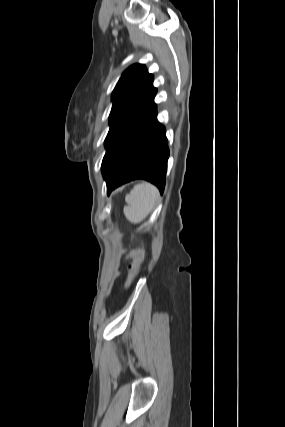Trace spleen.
<instances>
[{
    "label": "spleen",
    "instance_id": "spleen-1",
    "mask_svg": "<svg viewBox=\"0 0 285 427\" xmlns=\"http://www.w3.org/2000/svg\"><path fill=\"white\" fill-rule=\"evenodd\" d=\"M158 198L159 192L152 184L144 182L135 185L125 198L127 202V206L124 207L125 217L133 224L142 222L152 211Z\"/></svg>",
    "mask_w": 285,
    "mask_h": 427
}]
</instances>
